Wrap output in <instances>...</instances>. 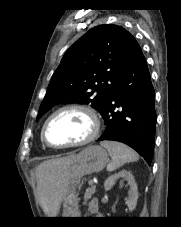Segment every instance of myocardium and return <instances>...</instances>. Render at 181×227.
Returning a JSON list of instances; mask_svg holds the SVG:
<instances>
[{
  "label": "myocardium",
  "mask_w": 181,
  "mask_h": 227,
  "mask_svg": "<svg viewBox=\"0 0 181 227\" xmlns=\"http://www.w3.org/2000/svg\"><path fill=\"white\" fill-rule=\"evenodd\" d=\"M67 110H76V111L84 113L90 121V131L81 140L67 143V144H62V145L53 144L48 140V137H47V129H48L49 123L56 115H58L59 113H61L63 111H67ZM99 131H100V119L94 109H92L89 106L83 105V104L70 103V104H66V105H63V106L57 108L55 111H53L48 116V118L45 120V122L43 124L42 131H41V137H42L43 142L48 147L53 148V149H64V148H70V147L84 146V145L92 142L97 137Z\"/></svg>",
  "instance_id": "f54148a6"
}]
</instances>
